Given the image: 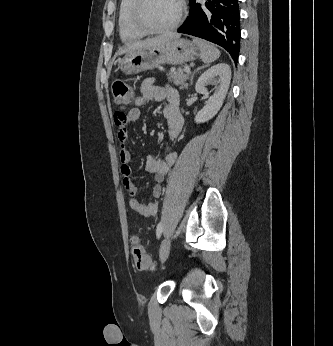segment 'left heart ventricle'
<instances>
[{"label": "left heart ventricle", "mask_w": 333, "mask_h": 346, "mask_svg": "<svg viewBox=\"0 0 333 346\" xmlns=\"http://www.w3.org/2000/svg\"><path fill=\"white\" fill-rule=\"evenodd\" d=\"M177 8V0H148L145 18L153 27H165L173 21Z\"/></svg>", "instance_id": "b2bd125f"}]
</instances>
